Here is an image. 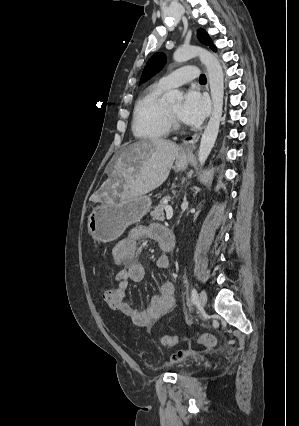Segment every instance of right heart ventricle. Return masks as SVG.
<instances>
[{
  "label": "right heart ventricle",
  "instance_id": "1",
  "mask_svg": "<svg viewBox=\"0 0 299 426\" xmlns=\"http://www.w3.org/2000/svg\"><path fill=\"white\" fill-rule=\"evenodd\" d=\"M169 88L156 82L150 85L135 105L132 130L143 140H159L168 135L165 93Z\"/></svg>",
  "mask_w": 299,
  "mask_h": 426
}]
</instances>
